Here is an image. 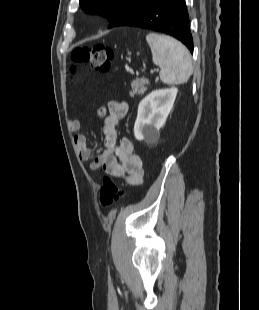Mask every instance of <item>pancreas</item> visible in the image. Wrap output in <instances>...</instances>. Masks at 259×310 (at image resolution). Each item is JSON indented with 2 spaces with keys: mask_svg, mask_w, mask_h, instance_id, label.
<instances>
[{
  "mask_svg": "<svg viewBox=\"0 0 259 310\" xmlns=\"http://www.w3.org/2000/svg\"><path fill=\"white\" fill-rule=\"evenodd\" d=\"M148 83L147 79H135L131 84L132 91L130 92V96L134 97L135 95H143L147 90L146 85Z\"/></svg>",
  "mask_w": 259,
  "mask_h": 310,
  "instance_id": "cf45deb5",
  "label": "pancreas"
}]
</instances>
